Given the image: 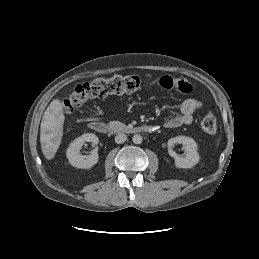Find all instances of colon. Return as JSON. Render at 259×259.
Returning <instances> with one entry per match:
<instances>
[{"label":"colon","mask_w":259,"mask_h":259,"mask_svg":"<svg viewBox=\"0 0 259 259\" xmlns=\"http://www.w3.org/2000/svg\"><path fill=\"white\" fill-rule=\"evenodd\" d=\"M151 82V78H140L136 75L114 76L108 79L98 78L78 85L73 93L64 100L63 107L67 113H70L89 100L104 98L112 94L134 93L148 86ZM159 85L165 90L181 94H189L193 89L188 80L172 76L161 77ZM201 127L207 134L216 133L217 122L212 112L206 113Z\"/></svg>","instance_id":"obj_1"}]
</instances>
